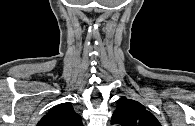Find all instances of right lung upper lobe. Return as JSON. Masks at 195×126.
Returning <instances> with one entry per match:
<instances>
[{
  "label": "right lung upper lobe",
  "mask_w": 195,
  "mask_h": 126,
  "mask_svg": "<svg viewBox=\"0 0 195 126\" xmlns=\"http://www.w3.org/2000/svg\"><path fill=\"white\" fill-rule=\"evenodd\" d=\"M37 126H83V124L81 116L68 102L54 107L38 122Z\"/></svg>",
  "instance_id": "1"
}]
</instances>
